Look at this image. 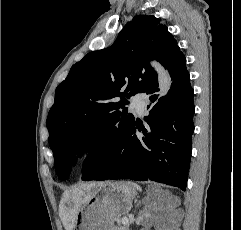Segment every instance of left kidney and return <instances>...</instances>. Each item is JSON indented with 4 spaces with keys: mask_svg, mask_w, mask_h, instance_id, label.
I'll return each instance as SVG.
<instances>
[{
    "mask_svg": "<svg viewBox=\"0 0 241 230\" xmlns=\"http://www.w3.org/2000/svg\"><path fill=\"white\" fill-rule=\"evenodd\" d=\"M155 219L156 218L153 215H151L149 213H145L144 223H145L146 227H150L153 224V222L155 221ZM142 230H148V229H142Z\"/></svg>",
    "mask_w": 241,
    "mask_h": 230,
    "instance_id": "left-kidney-1",
    "label": "left kidney"
}]
</instances>
